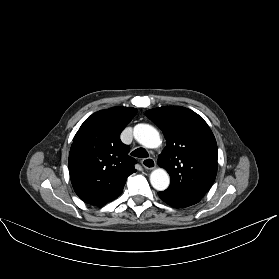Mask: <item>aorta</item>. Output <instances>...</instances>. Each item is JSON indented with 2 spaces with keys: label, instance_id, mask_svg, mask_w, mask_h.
Returning a JSON list of instances; mask_svg holds the SVG:
<instances>
[{
  "label": "aorta",
  "instance_id": "1",
  "mask_svg": "<svg viewBox=\"0 0 279 279\" xmlns=\"http://www.w3.org/2000/svg\"><path fill=\"white\" fill-rule=\"evenodd\" d=\"M133 134L135 139L147 148H157L161 143L159 132L148 124L136 125ZM150 183L154 189L164 191L169 186L170 177L164 169H155L150 174Z\"/></svg>",
  "mask_w": 279,
  "mask_h": 279
}]
</instances>
